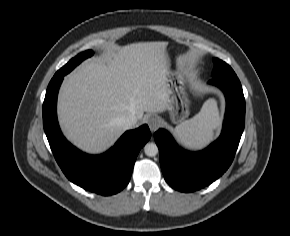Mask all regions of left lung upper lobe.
Wrapping results in <instances>:
<instances>
[{
	"label": "left lung upper lobe",
	"mask_w": 290,
	"mask_h": 236,
	"mask_svg": "<svg viewBox=\"0 0 290 236\" xmlns=\"http://www.w3.org/2000/svg\"><path fill=\"white\" fill-rule=\"evenodd\" d=\"M213 62H214V69L212 73L213 77L235 75L233 69L222 60L216 58L213 60Z\"/></svg>",
	"instance_id": "1"
}]
</instances>
